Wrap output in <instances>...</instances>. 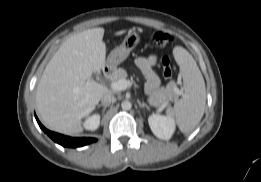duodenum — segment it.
<instances>
[{
	"label": "duodenum",
	"instance_id": "obj_1",
	"mask_svg": "<svg viewBox=\"0 0 261 182\" xmlns=\"http://www.w3.org/2000/svg\"><path fill=\"white\" fill-rule=\"evenodd\" d=\"M103 73H104V76L107 77L109 75V73H110V68L108 66L104 67Z\"/></svg>",
	"mask_w": 261,
	"mask_h": 182
}]
</instances>
